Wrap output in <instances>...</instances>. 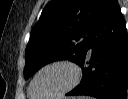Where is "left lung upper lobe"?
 Listing matches in <instances>:
<instances>
[{
	"instance_id": "obj_1",
	"label": "left lung upper lobe",
	"mask_w": 128,
	"mask_h": 99,
	"mask_svg": "<svg viewBox=\"0 0 128 99\" xmlns=\"http://www.w3.org/2000/svg\"><path fill=\"white\" fill-rule=\"evenodd\" d=\"M108 0H52L30 34L24 77L42 66L68 59L78 63Z\"/></svg>"
}]
</instances>
